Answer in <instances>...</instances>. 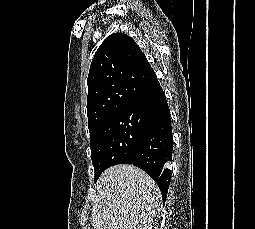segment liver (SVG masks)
Listing matches in <instances>:
<instances>
[{
	"label": "liver",
	"mask_w": 255,
	"mask_h": 229,
	"mask_svg": "<svg viewBox=\"0 0 255 229\" xmlns=\"http://www.w3.org/2000/svg\"><path fill=\"white\" fill-rule=\"evenodd\" d=\"M95 189L93 229H152L159 216L161 194L143 170L126 164L110 167Z\"/></svg>",
	"instance_id": "liver-1"
}]
</instances>
